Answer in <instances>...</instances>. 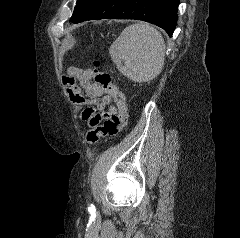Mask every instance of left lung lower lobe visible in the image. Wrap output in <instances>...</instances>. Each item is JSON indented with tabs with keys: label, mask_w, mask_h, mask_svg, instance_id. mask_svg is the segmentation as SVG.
<instances>
[{
	"label": "left lung lower lobe",
	"mask_w": 240,
	"mask_h": 238,
	"mask_svg": "<svg viewBox=\"0 0 240 238\" xmlns=\"http://www.w3.org/2000/svg\"><path fill=\"white\" fill-rule=\"evenodd\" d=\"M179 0H91L84 12L71 21L137 19L163 28L171 37L177 23Z\"/></svg>",
	"instance_id": "left-lung-lower-lobe-1"
}]
</instances>
